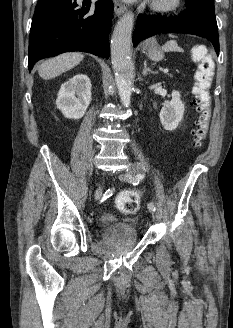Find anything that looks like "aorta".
<instances>
[{
    "label": "aorta",
    "instance_id": "762f6f07",
    "mask_svg": "<svg viewBox=\"0 0 233 328\" xmlns=\"http://www.w3.org/2000/svg\"><path fill=\"white\" fill-rule=\"evenodd\" d=\"M134 14L125 13L116 24L111 37V58L121 103L129 107L133 85V70L130 61V41Z\"/></svg>",
    "mask_w": 233,
    "mask_h": 328
}]
</instances>
